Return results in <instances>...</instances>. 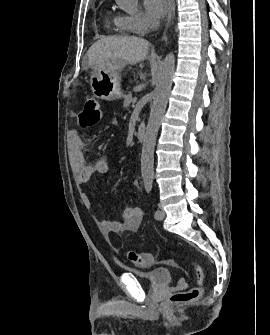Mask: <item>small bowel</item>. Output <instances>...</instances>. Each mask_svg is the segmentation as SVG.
<instances>
[{
    "mask_svg": "<svg viewBox=\"0 0 270 335\" xmlns=\"http://www.w3.org/2000/svg\"><path fill=\"white\" fill-rule=\"evenodd\" d=\"M68 161L74 181L79 188L84 187L94 174L104 175L109 171V165L103 159L91 163L85 161L83 142L76 130L68 133ZM81 201L86 207H90V199L86 194H81ZM142 217V208L131 206L124 209L121 220L100 219L99 223L106 233L133 232L139 229Z\"/></svg>",
    "mask_w": 270,
    "mask_h": 335,
    "instance_id": "c3829d8e",
    "label": "small bowel"
}]
</instances>
